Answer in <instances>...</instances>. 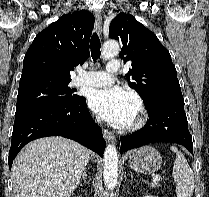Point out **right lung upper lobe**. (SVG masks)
Returning <instances> with one entry per match:
<instances>
[{
  "label": "right lung upper lobe",
  "mask_w": 209,
  "mask_h": 197,
  "mask_svg": "<svg viewBox=\"0 0 209 197\" xmlns=\"http://www.w3.org/2000/svg\"><path fill=\"white\" fill-rule=\"evenodd\" d=\"M92 13L66 14L38 33L23 60L20 85L40 81H67L70 71L84 63L94 27Z\"/></svg>",
  "instance_id": "1"
}]
</instances>
